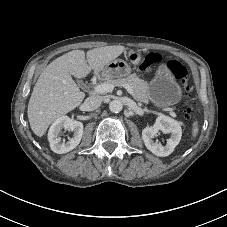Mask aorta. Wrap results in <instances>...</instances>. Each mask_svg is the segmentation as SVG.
Returning <instances> with one entry per match:
<instances>
[{"instance_id": "1", "label": "aorta", "mask_w": 227, "mask_h": 227, "mask_svg": "<svg viewBox=\"0 0 227 227\" xmlns=\"http://www.w3.org/2000/svg\"><path fill=\"white\" fill-rule=\"evenodd\" d=\"M123 108V104L120 100L115 99L109 103V109L113 113H119Z\"/></svg>"}]
</instances>
